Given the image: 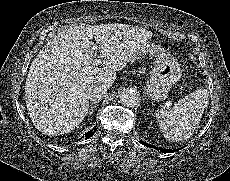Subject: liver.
Instances as JSON below:
<instances>
[{"label":"liver","mask_w":230,"mask_h":181,"mask_svg":"<svg viewBox=\"0 0 230 181\" xmlns=\"http://www.w3.org/2000/svg\"><path fill=\"white\" fill-rule=\"evenodd\" d=\"M151 37L146 29L118 24H81L53 36L32 62L25 84L26 106L35 127L48 135L71 132L89 112V89L110 88L116 72L133 57L136 44ZM96 55L105 67L94 65Z\"/></svg>","instance_id":"6515ba94"}]
</instances>
